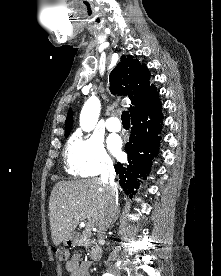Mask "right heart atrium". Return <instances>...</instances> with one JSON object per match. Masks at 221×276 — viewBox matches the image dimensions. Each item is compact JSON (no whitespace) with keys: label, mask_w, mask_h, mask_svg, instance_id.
<instances>
[{"label":"right heart atrium","mask_w":221,"mask_h":276,"mask_svg":"<svg viewBox=\"0 0 221 276\" xmlns=\"http://www.w3.org/2000/svg\"><path fill=\"white\" fill-rule=\"evenodd\" d=\"M65 158L69 172L80 177L97 176L113 166L103 143L92 136L73 137L67 146Z\"/></svg>","instance_id":"1"}]
</instances>
